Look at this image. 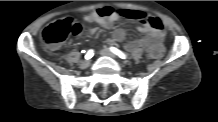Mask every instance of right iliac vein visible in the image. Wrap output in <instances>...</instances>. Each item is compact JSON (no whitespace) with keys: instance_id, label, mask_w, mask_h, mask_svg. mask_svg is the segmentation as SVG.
I'll return each instance as SVG.
<instances>
[{"instance_id":"right-iliac-vein-1","label":"right iliac vein","mask_w":218,"mask_h":122,"mask_svg":"<svg viewBox=\"0 0 218 122\" xmlns=\"http://www.w3.org/2000/svg\"><path fill=\"white\" fill-rule=\"evenodd\" d=\"M90 65V60H84L80 63L81 69H86Z\"/></svg>"}]
</instances>
